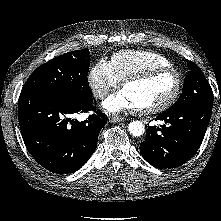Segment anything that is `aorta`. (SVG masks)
Instances as JSON below:
<instances>
[{
    "instance_id": "obj_1",
    "label": "aorta",
    "mask_w": 221,
    "mask_h": 221,
    "mask_svg": "<svg viewBox=\"0 0 221 221\" xmlns=\"http://www.w3.org/2000/svg\"><path fill=\"white\" fill-rule=\"evenodd\" d=\"M128 130L133 136H141L145 132L144 124L140 121H132L129 123Z\"/></svg>"
}]
</instances>
